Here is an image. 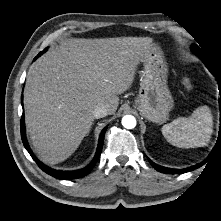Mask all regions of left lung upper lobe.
<instances>
[{
	"instance_id": "1",
	"label": "left lung upper lobe",
	"mask_w": 221,
	"mask_h": 221,
	"mask_svg": "<svg viewBox=\"0 0 221 221\" xmlns=\"http://www.w3.org/2000/svg\"><path fill=\"white\" fill-rule=\"evenodd\" d=\"M192 49L198 56L201 57V59L204 57L202 50L197 45L193 44Z\"/></svg>"
}]
</instances>
